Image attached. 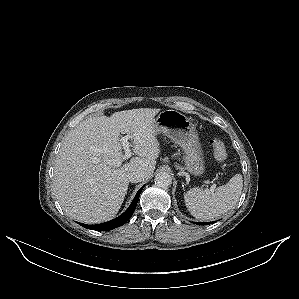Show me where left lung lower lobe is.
I'll list each match as a JSON object with an SVG mask.
<instances>
[{
	"mask_svg": "<svg viewBox=\"0 0 299 299\" xmlns=\"http://www.w3.org/2000/svg\"><path fill=\"white\" fill-rule=\"evenodd\" d=\"M212 223H214V222H198V223H196L197 225H208V224H212Z\"/></svg>",
	"mask_w": 299,
	"mask_h": 299,
	"instance_id": "left-lung-lower-lobe-1",
	"label": "left lung lower lobe"
}]
</instances>
